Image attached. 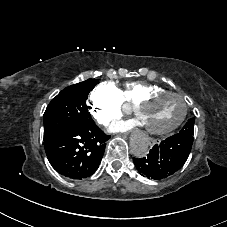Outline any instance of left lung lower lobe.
<instances>
[{"instance_id":"1","label":"left lung lower lobe","mask_w":227,"mask_h":227,"mask_svg":"<svg viewBox=\"0 0 227 227\" xmlns=\"http://www.w3.org/2000/svg\"><path fill=\"white\" fill-rule=\"evenodd\" d=\"M193 144V136L175 134L156 144L144 158H133L142 175L159 180L178 171L186 162Z\"/></svg>"}]
</instances>
